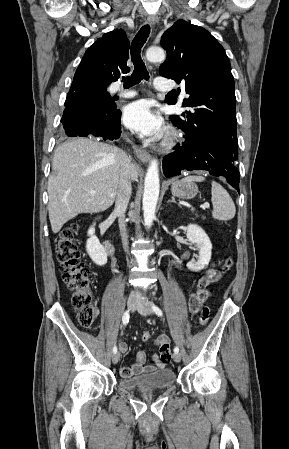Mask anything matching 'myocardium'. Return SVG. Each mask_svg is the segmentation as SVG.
I'll use <instances>...</instances> for the list:
<instances>
[{"label":"myocardium","instance_id":"1","mask_svg":"<svg viewBox=\"0 0 289 449\" xmlns=\"http://www.w3.org/2000/svg\"><path fill=\"white\" fill-rule=\"evenodd\" d=\"M177 141H178L177 132L174 130H168L161 143V149L170 150L176 145Z\"/></svg>","mask_w":289,"mask_h":449}]
</instances>
